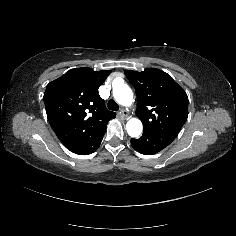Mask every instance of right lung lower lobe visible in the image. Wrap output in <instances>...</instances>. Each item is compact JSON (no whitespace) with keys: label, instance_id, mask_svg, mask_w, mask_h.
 I'll use <instances>...</instances> for the list:
<instances>
[{"label":"right lung lower lobe","instance_id":"right-lung-lower-lobe-1","mask_svg":"<svg viewBox=\"0 0 236 236\" xmlns=\"http://www.w3.org/2000/svg\"><path fill=\"white\" fill-rule=\"evenodd\" d=\"M106 131V128L102 131H100L98 134H95L92 137H89L88 139L73 145L71 147H69L68 149L75 153V154H79V155H87V154H91L94 151H96L98 149V147L100 146V143L102 141V138L104 136V133Z\"/></svg>","mask_w":236,"mask_h":236}]
</instances>
